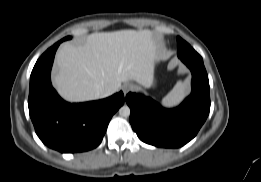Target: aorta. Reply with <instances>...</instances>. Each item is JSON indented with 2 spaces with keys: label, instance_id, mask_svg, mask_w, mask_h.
<instances>
[{
  "label": "aorta",
  "instance_id": "aorta-1",
  "mask_svg": "<svg viewBox=\"0 0 261 182\" xmlns=\"http://www.w3.org/2000/svg\"><path fill=\"white\" fill-rule=\"evenodd\" d=\"M119 114L122 117H129V115H130V108L127 105L122 106L119 109Z\"/></svg>",
  "mask_w": 261,
  "mask_h": 182
}]
</instances>
